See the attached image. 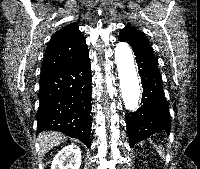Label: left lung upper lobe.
Returning <instances> with one entry per match:
<instances>
[{
  "mask_svg": "<svg viewBox=\"0 0 200 169\" xmlns=\"http://www.w3.org/2000/svg\"><path fill=\"white\" fill-rule=\"evenodd\" d=\"M119 40L130 44L136 56H145L157 62L153 49L143 32L127 25L121 30Z\"/></svg>",
  "mask_w": 200,
  "mask_h": 169,
  "instance_id": "5c2ea615",
  "label": "left lung upper lobe"
}]
</instances>
